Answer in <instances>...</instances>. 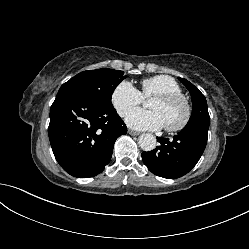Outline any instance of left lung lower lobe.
<instances>
[{
	"mask_svg": "<svg viewBox=\"0 0 249 249\" xmlns=\"http://www.w3.org/2000/svg\"><path fill=\"white\" fill-rule=\"evenodd\" d=\"M210 118L190 121L173 137L159 138L154 150L142 152V160L155 175L175 179L187 174L199 161L207 143Z\"/></svg>",
	"mask_w": 249,
	"mask_h": 249,
	"instance_id": "0a47b994",
	"label": "left lung lower lobe"
}]
</instances>
